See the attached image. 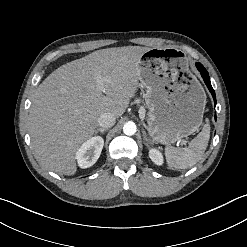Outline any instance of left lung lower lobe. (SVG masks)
Wrapping results in <instances>:
<instances>
[{"mask_svg": "<svg viewBox=\"0 0 247 247\" xmlns=\"http://www.w3.org/2000/svg\"><path fill=\"white\" fill-rule=\"evenodd\" d=\"M196 67H197V69L199 70V72H201V76L203 77L205 84L207 85L209 91L211 92V94H212V96H213V99H214V102H215V105H216L215 91H214V89H213L212 86H211V82H210V78H209L208 72H207L206 69L203 67V65L200 64V63H197V64H196ZM215 119H216V116H215Z\"/></svg>", "mask_w": 247, "mask_h": 247, "instance_id": "0a47b994", "label": "left lung lower lobe"}]
</instances>
